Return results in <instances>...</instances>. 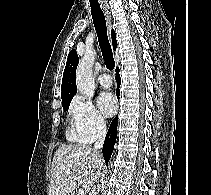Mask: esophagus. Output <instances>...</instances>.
<instances>
[{"instance_id": "esophagus-1", "label": "esophagus", "mask_w": 211, "mask_h": 195, "mask_svg": "<svg viewBox=\"0 0 211 195\" xmlns=\"http://www.w3.org/2000/svg\"><path fill=\"white\" fill-rule=\"evenodd\" d=\"M103 9H104L106 19H107V26H108L109 35H111L112 16H111L109 5L107 3H104Z\"/></svg>"}]
</instances>
